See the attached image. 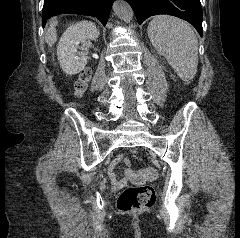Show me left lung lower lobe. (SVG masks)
<instances>
[{"instance_id": "1", "label": "left lung lower lobe", "mask_w": 240, "mask_h": 238, "mask_svg": "<svg viewBox=\"0 0 240 238\" xmlns=\"http://www.w3.org/2000/svg\"><path fill=\"white\" fill-rule=\"evenodd\" d=\"M141 24L146 18L167 14L186 20L202 36V7L200 0H126Z\"/></svg>"}]
</instances>
